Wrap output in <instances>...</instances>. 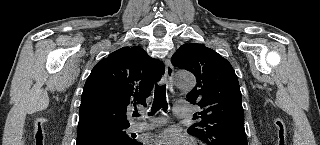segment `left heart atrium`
<instances>
[{
  "mask_svg": "<svg viewBox=\"0 0 320 145\" xmlns=\"http://www.w3.org/2000/svg\"><path fill=\"white\" fill-rule=\"evenodd\" d=\"M149 142L151 145H190L187 135L175 129H166L150 137Z\"/></svg>",
  "mask_w": 320,
  "mask_h": 145,
  "instance_id": "obj_1",
  "label": "left heart atrium"
}]
</instances>
